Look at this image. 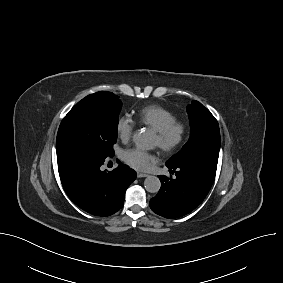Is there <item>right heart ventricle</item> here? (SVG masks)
I'll return each mask as SVG.
<instances>
[{
    "label": "right heart ventricle",
    "instance_id": "obj_1",
    "mask_svg": "<svg viewBox=\"0 0 283 283\" xmlns=\"http://www.w3.org/2000/svg\"><path fill=\"white\" fill-rule=\"evenodd\" d=\"M139 123L157 131L176 119L174 113L160 105H148L137 113Z\"/></svg>",
    "mask_w": 283,
    "mask_h": 283
}]
</instances>
